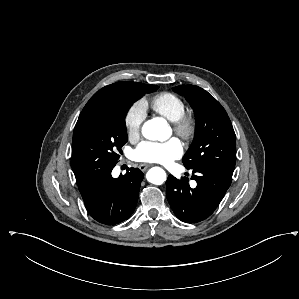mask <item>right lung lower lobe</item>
Wrapping results in <instances>:
<instances>
[{
	"label": "right lung lower lobe",
	"mask_w": 299,
	"mask_h": 299,
	"mask_svg": "<svg viewBox=\"0 0 299 299\" xmlns=\"http://www.w3.org/2000/svg\"><path fill=\"white\" fill-rule=\"evenodd\" d=\"M113 167L78 184L86 209L98 222L114 225L127 220L133 213L144 174L128 168L125 175L111 176Z\"/></svg>",
	"instance_id": "obj_1"
}]
</instances>
